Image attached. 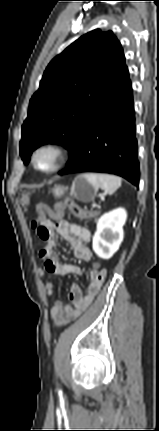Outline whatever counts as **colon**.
Masks as SVG:
<instances>
[{
	"instance_id": "obj_1",
	"label": "colon",
	"mask_w": 159,
	"mask_h": 431,
	"mask_svg": "<svg viewBox=\"0 0 159 431\" xmlns=\"http://www.w3.org/2000/svg\"><path fill=\"white\" fill-rule=\"evenodd\" d=\"M65 210H69L73 215L79 218H87L90 216L89 212L83 210L74 201L69 199L58 202L54 210L45 203H39L36 205L37 220L33 221V227L36 228L37 231L41 230L43 224L48 220L47 215L55 219L61 218ZM101 263V260H96L95 263H92V268H99Z\"/></svg>"
}]
</instances>
